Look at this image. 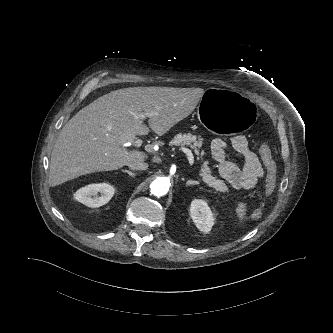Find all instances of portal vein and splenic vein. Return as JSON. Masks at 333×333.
Here are the masks:
<instances>
[{"label": "portal vein and splenic vein", "instance_id": "1", "mask_svg": "<svg viewBox=\"0 0 333 333\" xmlns=\"http://www.w3.org/2000/svg\"><path fill=\"white\" fill-rule=\"evenodd\" d=\"M139 118L144 119V118H145V115H144L143 113H141V114L139 115ZM134 143H135V145H136L137 147H140V146L142 145V140H141V139H137V140H135ZM126 146H127V145H126ZM181 150L186 154V156H187V158H188V161H189V164H190V165H193V163H194V156H193L191 150L188 149V148H185V147L181 148Z\"/></svg>", "mask_w": 333, "mask_h": 333}]
</instances>
